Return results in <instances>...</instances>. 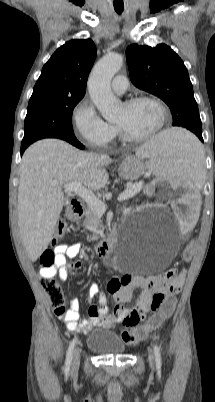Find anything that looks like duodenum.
<instances>
[{
    "label": "duodenum",
    "instance_id": "obj_1",
    "mask_svg": "<svg viewBox=\"0 0 215 402\" xmlns=\"http://www.w3.org/2000/svg\"><path fill=\"white\" fill-rule=\"evenodd\" d=\"M84 213V207L82 203L78 200H73L68 208V218L72 221L79 220ZM116 242V234L114 231L110 232L109 235L102 241L96 244L95 251L98 255L104 256L110 253Z\"/></svg>",
    "mask_w": 215,
    "mask_h": 402
}]
</instances>
